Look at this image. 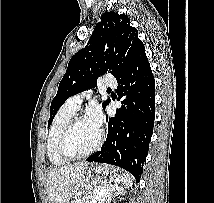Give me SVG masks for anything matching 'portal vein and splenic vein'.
<instances>
[{
  "instance_id": "1",
  "label": "portal vein and splenic vein",
  "mask_w": 214,
  "mask_h": 203,
  "mask_svg": "<svg viewBox=\"0 0 214 203\" xmlns=\"http://www.w3.org/2000/svg\"><path fill=\"white\" fill-rule=\"evenodd\" d=\"M106 190H109V189L107 188V189H102V190L98 191L97 195L92 199L91 203H97V201H99L101 199V197L104 196Z\"/></svg>"
}]
</instances>
